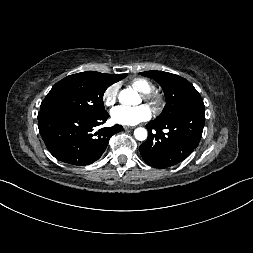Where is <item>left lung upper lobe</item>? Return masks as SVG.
<instances>
[{"label":"left lung upper lobe","instance_id":"left-lung-upper-lobe-1","mask_svg":"<svg viewBox=\"0 0 253 253\" xmlns=\"http://www.w3.org/2000/svg\"><path fill=\"white\" fill-rule=\"evenodd\" d=\"M140 74L157 81L165 93L166 105L155 120H168L194 103L202 101L194 86L178 75L163 71H146Z\"/></svg>","mask_w":253,"mask_h":253}]
</instances>
